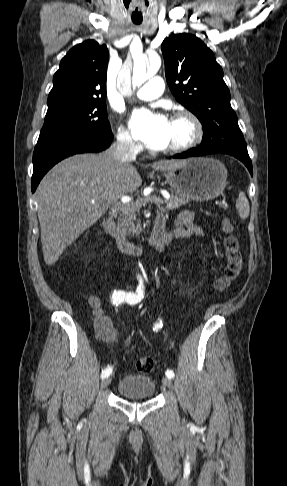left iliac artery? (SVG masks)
<instances>
[{
	"label": "left iliac artery",
	"mask_w": 287,
	"mask_h": 486,
	"mask_svg": "<svg viewBox=\"0 0 287 486\" xmlns=\"http://www.w3.org/2000/svg\"><path fill=\"white\" fill-rule=\"evenodd\" d=\"M138 299H139V296H136V297L134 298V300H128V301H127V303H129V304H131V305L136 304ZM162 326H163V324H162V321L160 320V322H158V323H156V324L154 325L153 330H154V331H157L158 329L162 328ZM165 374H166V376H167L169 379H172V378L174 377V372H173V370H171V369H167Z\"/></svg>",
	"instance_id": "left-iliac-artery-1"
}]
</instances>
